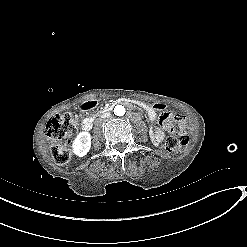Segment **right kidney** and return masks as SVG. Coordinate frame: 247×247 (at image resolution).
Segmentation results:
<instances>
[{"label": "right kidney", "instance_id": "obj_1", "mask_svg": "<svg viewBox=\"0 0 247 247\" xmlns=\"http://www.w3.org/2000/svg\"><path fill=\"white\" fill-rule=\"evenodd\" d=\"M91 144L90 133L88 131H81L73 140V153L80 158L85 157L91 149Z\"/></svg>", "mask_w": 247, "mask_h": 247}]
</instances>
